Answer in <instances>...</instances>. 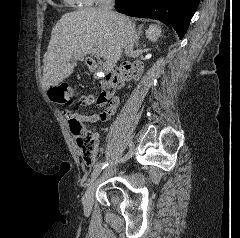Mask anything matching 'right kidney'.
<instances>
[{"instance_id": "ca27d5eb", "label": "right kidney", "mask_w": 240, "mask_h": 238, "mask_svg": "<svg viewBox=\"0 0 240 238\" xmlns=\"http://www.w3.org/2000/svg\"><path fill=\"white\" fill-rule=\"evenodd\" d=\"M145 34L150 41L155 42L161 34V28L157 25H150Z\"/></svg>"}]
</instances>
